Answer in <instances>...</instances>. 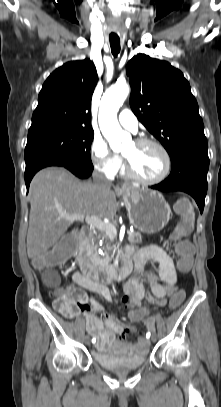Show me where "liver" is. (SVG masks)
Returning a JSON list of instances; mask_svg holds the SVG:
<instances>
[{
    "mask_svg": "<svg viewBox=\"0 0 221 407\" xmlns=\"http://www.w3.org/2000/svg\"><path fill=\"white\" fill-rule=\"evenodd\" d=\"M133 188H127L130 190ZM30 215L27 233L28 257L36 260L67 231L73 221L63 215H94L112 219L117 210L111 185L81 182L68 170L49 167L31 181Z\"/></svg>",
    "mask_w": 221,
    "mask_h": 407,
    "instance_id": "1",
    "label": "liver"
}]
</instances>
